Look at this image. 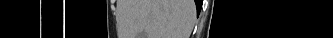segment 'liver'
Wrapping results in <instances>:
<instances>
[{
  "label": "liver",
  "mask_w": 333,
  "mask_h": 38,
  "mask_svg": "<svg viewBox=\"0 0 333 38\" xmlns=\"http://www.w3.org/2000/svg\"><path fill=\"white\" fill-rule=\"evenodd\" d=\"M193 0H137V34L147 38H189Z\"/></svg>",
  "instance_id": "1"
}]
</instances>
